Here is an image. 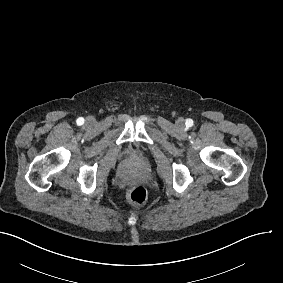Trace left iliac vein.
Listing matches in <instances>:
<instances>
[{"label": "left iliac vein", "mask_w": 283, "mask_h": 283, "mask_svg": "<svg viewBox=\"0 0 283 283\" xmlns=\"http://www.w3.org/2000/svg\"><path fill=\"white\" fill-rule=\"evenodd\" d=\"M184 123L183 119H178L177 125L182 126Z\"/></svg>", "instance_id": "1"}]
</instances>
